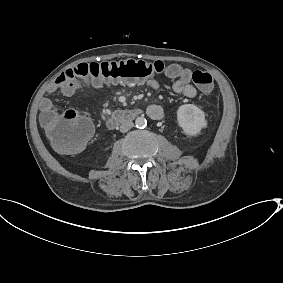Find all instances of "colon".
<instances>
[{"label":"colon","mask_w":283,"mask_h":283,"mask_svg":"<svg viewBox=\"0 0 283 283\" xmlns=\"http://www.w3.org/2000/svg\"><path fill=\"white\" fill-rule=\"evenodd\" d=\"M164 65L160 61L122 60L102 63H82L68 69L59 77L62 81L78 83L90 80L94 86L105 83L138 84L161 73ZM195 85L203 92L213 89V78L209 73L195 71ZM42 125L56 150L73 154L79 152L93 133L90 120L75 110L64 113L45 112Z\"/></svg>","instance_id":"5ec220e1"}]
</instances>
